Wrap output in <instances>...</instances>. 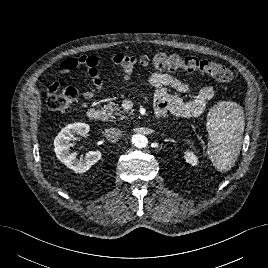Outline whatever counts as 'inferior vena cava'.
<instances>
[{"mask_svg":"<svg viewBox=\"0 0 268 268\" xmlns=\"http://www.w3.org/2000/svg\"><path fill=\"white\" fill-rule=\"evenodd\" d=\"M122 136V131L119 128L111 127L105 131V137L111 142H117Z\"/></svg>","mask_w":268,"mask_h":268,"instance_id":"obj_1","label":"inferior vena cava"}]
</instances>
